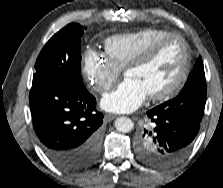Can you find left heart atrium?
Masks as SVG:
<instances>
[{
	"label": "left heart atrium",
	"instance_id": "obj_1",
	"mask_svg": "<svg viewBox=\"0 0 223 188\" xmlns=\"http://www.w3.org/2000/svg\"><path fill=\"white\" fill-rule=\"evenodd\" d=\"M147 97L146 91L137 81L126 78L102 98L101 106L106 111L129 113L140 107Z\"/></svg>",
	"mask_w": 223,
	"mask_h": 188
}]
</instances>
